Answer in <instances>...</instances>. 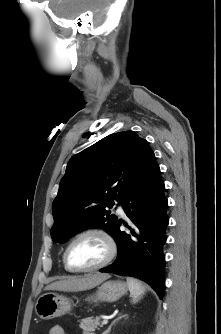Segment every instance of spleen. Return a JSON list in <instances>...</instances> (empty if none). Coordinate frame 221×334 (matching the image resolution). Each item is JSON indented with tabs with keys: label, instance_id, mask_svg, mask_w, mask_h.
<instances>
[{
	"label": "spleen",
	"instance_id": "3e777b00",
	"mask_svg": "<svg viewBox=\"0 0 221 334\" xmlns=\"http://www.w3.org/2000/svg\"><path fill=\"white\" fill-rule=\"evenodd\" d=\"M127 286L132 297V302H138L145 293V287L139 280L132 277L127 278Z\"/></svg>",
	"mask_w": 221,
	"mask_h": 334
}]
</instances>
